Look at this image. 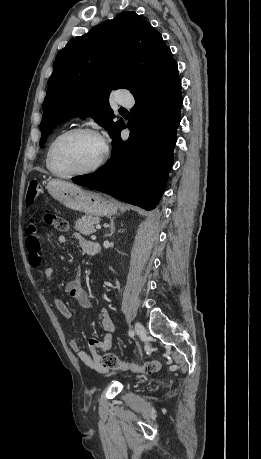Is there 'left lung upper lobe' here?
Returning a JSON list of instances; mask_svg holds the SVG:
<instances>
[{
    "mask_svg": "<svg viewBox=\"0 0 261 459\" xmlns=\"http://www.w3.org/2000/svg\"><path fill=\"white\" fill-rule=\"evenodd\" d=\"M161 34L135 12H121L87 34L72 38L57 54L43 102L41 140L69 118L92 116L112 139L123 120L109 105L113 89L133 96L174 62Z\"/></svg>",
    "mask_w": 261,
    "mask_h": 459,
    "instance_id": "left-lung-upper-lobe-1",
    "label": "left lung upper lobe"
}]
</instances>
